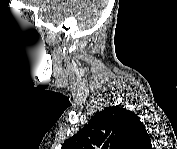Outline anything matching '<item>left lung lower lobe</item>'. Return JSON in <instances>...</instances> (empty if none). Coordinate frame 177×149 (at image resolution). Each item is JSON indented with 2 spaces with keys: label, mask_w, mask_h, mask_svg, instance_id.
I'll return each instance as SVG.
<instances>
[{
  "label": "left lung lower lobe",
  "mask_w": 177,
  "mask_h": 149,
  "mask_svg": "<svg viewBox=\"0 0 177 149\" xmlns=\"http://www.w3.org/2000/svg\"><path fill=\"white\" fill-rule=\"evenodd\" d=\"M142 148L143 149H151V139L149 137V135H146L144 138H143V141H142Z\"/></svg>",
  "instance_id": "obj_1"
}]
</instances>
